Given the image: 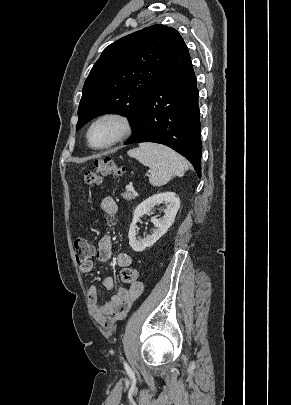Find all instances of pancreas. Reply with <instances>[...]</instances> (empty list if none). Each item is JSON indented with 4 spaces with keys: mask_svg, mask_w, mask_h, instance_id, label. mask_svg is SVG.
<instances>
[{
    "mask_svg": "<svg viewBox=\"0 0 291 405\" xmlns=\"http://www.w3.org/2000/svg\"><path fill=\"white\" fill-rule=\"evenodd\" d=\"M122 197L126 200V201H130V200H134L136 198V194H133L129 191L124 192L122 194Z\"/></svg>",
    "mask_w": 291,
    "mask_h": 405,
    "instance_id": "cf45deb5",
    "label": "pancreas"
}]
</instances>
